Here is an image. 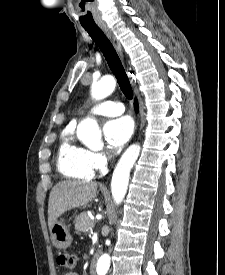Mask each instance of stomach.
<instances>
[{"mask_svg": "<svg viewBox=\"0 0 225 275\" xmlns=\"http://www.w3.org/2000/svg\"><path fill=\"white\" fill-rule=\"evenodd\" d=\"M50 238L53 245L59 249L68 248L73 240L68 226L63 221H56L53 224L50 230Z\"/></svg>", "mask_w": 225, "mask_h": 275, "instance_id": "1", "label": "stomach"}]
</instances>
